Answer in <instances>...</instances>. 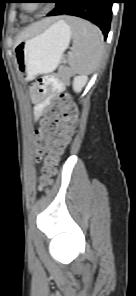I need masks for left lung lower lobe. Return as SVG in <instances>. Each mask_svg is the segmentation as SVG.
Listing matches in <instances>:
<instances>
[{"label": "left lung lower lobe", "mask_w": 136, "mask_h": 296, "mask_svg": "<svg viewBox=\"0 0 136 296\" xmlns=\"http://www.w3.org/2000/svg\"><path fill=\"white\" fill-rule=\"evenodd\" d=\"M114 0H54L55 8L47 16L61 14L87 19L96 24L107 38Z\"/></svg>", "instance_id": "left-lung-lower-lobe-1"}]
</instances>
